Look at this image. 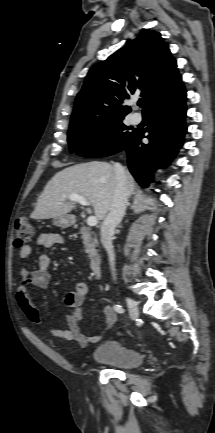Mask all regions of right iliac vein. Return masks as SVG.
<instances>
[{"instance_id": "right-iliac-vein-1", "label": "right iliac vein", "mask_w": 215, "mask_h": 433, "mask_svg": "<svg viewBox=\"0 0 215 433\" xmlns=\"http://www.w3.org/2000/svg\"><path fill=\"white\" fill-rule=\"evenodd\" d=\"M126 303L130 311V316L133 320H136L139 317V307L136 301L133 299L126 297Z\"/></svg>"}]
</instances>
